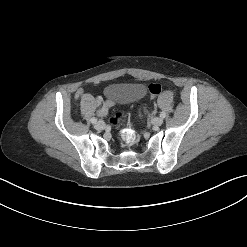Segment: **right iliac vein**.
I'll use <instances>...</instances> for the list:
<instances>
[{"label":"right iliac vein","instance_id":"1","mask_svg":"<svg viewBox=\"0 0 247 247\" xmlns=\"http://www.w3.org/2000/svg\"><path fill=\"white\" fill-rule=\"evenodd\" d=\"M105 128V123L103 121H98L96 124H95V129L98 130V131H101Z\"/></svg>","mask_w":247,"mask_h":247}]
</instances>
